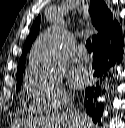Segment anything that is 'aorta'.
Masks as SVG:
<instances>
[{
  "mask_svg": "<svg viewBox=\"0 0 125 128\" xmlns=\"http://www.w3.org/2000/svg\"><path fill=\"white\" fill-rule=\"evenodd\" d=\"M63 43V34L58 26L44 32L35 43L31 53L30 62L41 69H52Z\"/></svg>",
  "mask_w": 125,
  "mask_h": 128,
  "instance_id": "762f6f07",
  "label": "aorta"
}]
</instances>
